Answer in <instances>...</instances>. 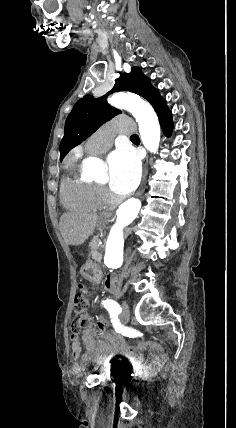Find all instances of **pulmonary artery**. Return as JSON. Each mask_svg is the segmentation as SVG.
I'll return each mask as SVG.
<instances>
[{"mask_svg": "<svg viewBox=\"0 0 236 428\" xmlns=\"http://www.w3.org/2000/svg\"><path fill=\"white\" fill-rule=\"evenodd\" d=\"M112 144V142H111ZM109 145H106L104 143L101 144H95L94 142H88V144H86L84 146V150L86 151V153L88 155H96L101 153L103 150H105L106 148H108Z\"/></svg>", "mask_w": 236, "mask_h": 428, "instance_id": "pulmonary-artery-1", "label": "pulmonary artery"}]
</instances>
